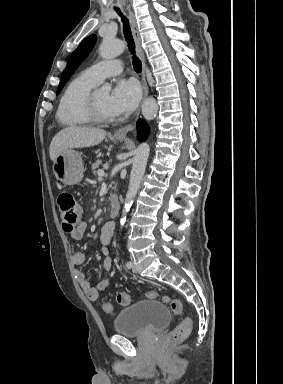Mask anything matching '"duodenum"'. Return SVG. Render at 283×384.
Wrapping results in <instances>:
<instances>
[{
    "label": "duodenum",
    "instance_id": "1",
    "mask_svg": "<svg viewBox=\"0 0 283 384\" xmlns=\"http://www.w3.org/2000/svg\"><path fill=\"white\" fill-rule=\"evenodd\" d=\"M111 198V209H110V216L116 217L119 214L120 211V201L116 193H112L110 195Z\"/></svg>",
    "mask_w": 283,
    "mask_h": 384
}]
</instances>
